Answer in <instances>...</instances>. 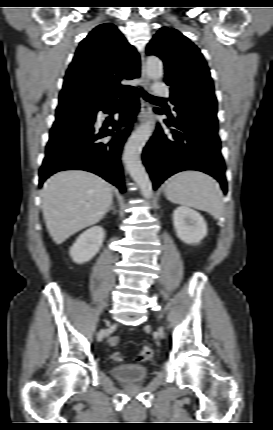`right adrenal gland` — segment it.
Instances as JSON below:
<instances>
[{"instance_id": "obj_1", "label": "right adrenal gland", "mask_w": 273, "mask_h": 430, "mask_svg": "<svg viewBox=\"0 0 273 430\" xmlns=\"http://www.w3.org/2000/svg\"><path fill=\"white\" fill-rule=\"evenodd\" d=\"M109 210H113L114 212H116V210H115V206H114V203H113V202H112L111 206L109 207L108 211H109Z\"/></svg>"}]
</instances>
